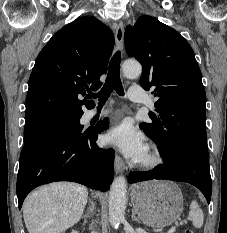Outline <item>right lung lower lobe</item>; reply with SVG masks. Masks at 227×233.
Returning <instances> with one entry per match:
<instances>
[{"label":"right lung lower lobe","instance_id":"obj_1","mask_svg":"<svg viewBox=\"0 0 227 233\" xmlns=\"http://www.w3.org/2000/svg\"><path fill=\"white\" fill-rule=\"evenodd\" d=\"M108 121L84 132L50 135L24 145L17 176L19 209L34 188L56 181H73L107 191L114 177V151L96 145Z\"/></svg>","mask_w":227,"mask_h":233}]
</instances>
